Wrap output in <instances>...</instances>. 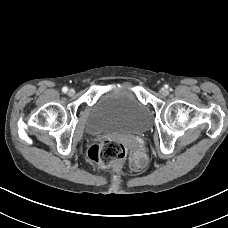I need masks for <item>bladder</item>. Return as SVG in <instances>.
Listing matches in <instances>:
<instances>
[{"label": "bladder", "instance_id": "31cf9c89", "mask_svg": "<svg viewBox=\"0 0 228 228\" xmlns=\"http://www.w3.org/2000/svg\"><path fill=\"white\" fill-rule=\"evenodd\" d=\"M151 123L147 107L136 96L130 82L104 92L90 108L84 129L88 134H136L145 131Z\"/></svg>", "mask_w": 228, "mask_h": 228}]
</instances>
